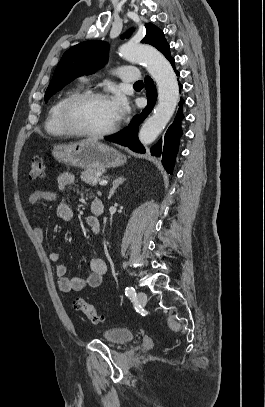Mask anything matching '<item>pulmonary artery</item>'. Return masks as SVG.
I'll return each mask as SVG.
<instances>
[{
	"label": "pulmonary artery",
	"mask_w": 265,
	"mask_h": 407,
	"mask_svg": "<svg viewBox=\"0 0 265 407\" xmlns=\"http://www.w3.org/2000/svg\"><path fill=\"white\" fill-rule=\"evenodd\" d=\"M118 75L121 81L123 82H138L139 81V72L134 66H121L118 69ZM82 82H87L88 78L82 77Z\"/></svg>",
	"instance_id": "e3ab8cb5"
}]
</instances>
